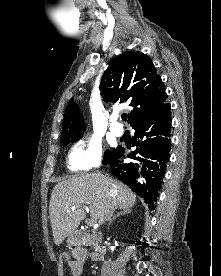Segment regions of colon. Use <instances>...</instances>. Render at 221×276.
<instances>
[{"label":"colon","instance_id":"5ec220e1","mask_svg":"<svg viewBox=\"0 0 221 276\" xmlns=\"http://www.w3.org/2000/svg\"><path fill=\"white\" fill-rule=\"evenodd\" d=\"M59 259L62 261V262H67L69 263L71 261V254L69 252H62L60 255H59Z\"/></svg>","mask_w":221,"mask_h":276}]
</instances>
